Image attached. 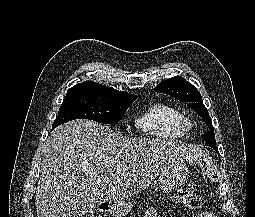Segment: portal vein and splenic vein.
<instances>
[{
    "mask_svg": "<svg viewBox=\"0 0 255 217\" xmlns=\"http://www.w3.org/2000/svg\"><path fill=\"white\" fill-rule=\"evenodd\" d=\"M124 169L122 166H116V170H122Z\"/></svg>",
    "mask_w": 255,
    "mask_h": 217,
    "instance_id": "18ae733b",
    "label": "portal vein and splenic vein"
}]
</instances>
